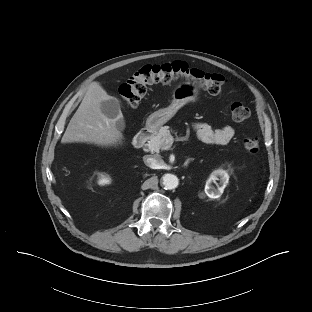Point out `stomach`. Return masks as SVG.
Returning a JSON list of instances; mask_svg holds the SVG:
<instances>
[{
  "label": "stomach",
  "mask_w": 312,
  "mask_h": 312,
  "mask_svg": "<svg viewBox=\"0 0 312 312\" xmlns=\"http://www.w3.org/2000/svg\"><path fill=\"white\" fill-rule=\"evenodd\" d=\"M199 95V89L193 84L189 82L179 84L172 92L170 105L152 113L146 121V126L154 130L159 129L172 119L184 105L196 101Z\"/></svg>",
  "instance_id": "1"
}]
</instances>
